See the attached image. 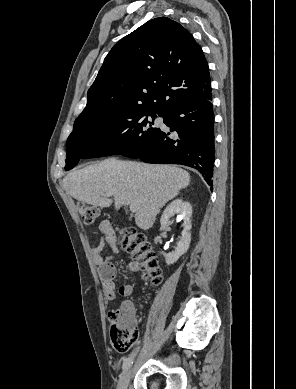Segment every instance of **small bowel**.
<instances>
[{
  "label": "small bowel",
  "mask_w": 296,
  "mask_h": 389,
  "mask_svg": "<svg viewBox=\"0 0 296 389\" xmlns=\"http://www.w3.org/2000/svg\"><path fill=\"white\" fill-rule=\"evenodd\" d=\"M99 230L103 234V237L99 240L98 244L93 248L92 255L96 266L98 267L99 276L103 283V291L107 299H116V267L107 259L104 258L103 252L108 248L111 252H115L114 236L112 230L107 221H102L99 224ZM128 269L131 272H138L140 266L136 261H132L128 264ZM133 284H123L119 287L118 293L123 297H128L133 293ZM121 309H133V304L129 300L122 301L120 304Z\"/></svg>",
  "instance_id": "obj_1"
}]
</instances>
